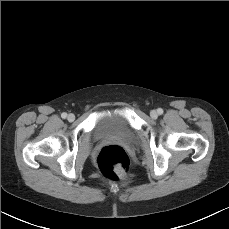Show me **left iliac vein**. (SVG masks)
Masks as SVG:
<instances>
[{
	"mask_svg": "<svg viewBox=\"0 0 229 229\" xmlns=\"http://www.w3.org/2000/svg\"><path fill=\"white\" fill-rule=\"evenodd\" d=\"M150 116H151L153 119H156V118L158 117V114H157V112H156L155 110H152V111L150 112Z\"/></svg>",
	"mask_w": 229,
	"mask_h": 229,
	"instance_id": "left-iliac-vein-1",
	"label": "left iliac vein"
}]
</instances>
